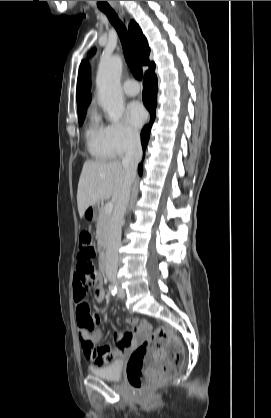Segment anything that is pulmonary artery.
<instances>
[{"mask_svg": "<svg viewBox=\"0 0 271 418\" xmlns=\"http://www.w3.org/2000/svg\"><path fill=\"white\" fill-rule=\"evenodd\" d=\"M123 91L127 96H136L139 91V85L134 80H127L123 84Z\"/></svg>", "mask_w": 271, "mask_h": 418, "instance_id": "obj_1", "label": "pulmonary artery"}]
</instances>
